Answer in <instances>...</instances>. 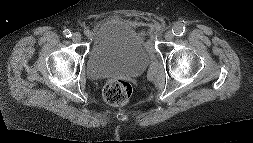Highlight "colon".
<instances>
[{
	"instance_id": "colon-1",
	"label": "colon",
	"mask_w": 253,
	"mask_h": 143,
	"mask_svg": "<svg viewBox=\"0 0 253 143\" xmlns=\"http://www.w3.org/2000/svg\"><path fill=\"white\" fill-rule=\"evenodd\" d=\"M132 87L125 80H112L104 88L103 96L107 103L111 105H123L130 99Z\"/></svg>"
}]
</instances>
